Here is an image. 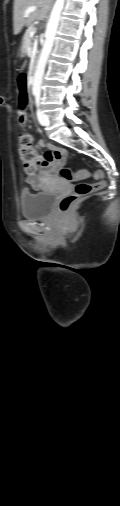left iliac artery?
<instances>
[{"instance_id": "obj_1", "label": "left iliac artery", "mask_w": 120, "mask_h": 506, "mask_svg": "<svg viewBox=\"0 0 120 506\" xmlns=\"http://www.w3.org/2000/svg\"><path fill=\"white\" fill-rule=\"evenodd\" d=\"M35 103L37 106H39V103H40V95L39 94L35 95Z\"/></svg>"}]
</instances>
